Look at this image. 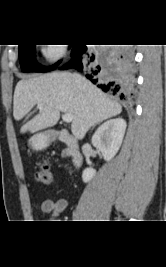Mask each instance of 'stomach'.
<instances>
[{
    "instance_id": "0dacf381",
    "label": "stomach",
    "mask_w": 166,
    "mask_h": 267,
    "mask_svg": "<svg viewBox=\"0 0 166 267\" xmlns=\"http://www.w3.org/2000/svg\"><path fill=\"white\" fill-rule=\"evenodd\" d=\"M53 140V135L50 132H42L35 134L30 139L31 147L38 151L47 148Z\"/></svg>"
}]
</instances>
